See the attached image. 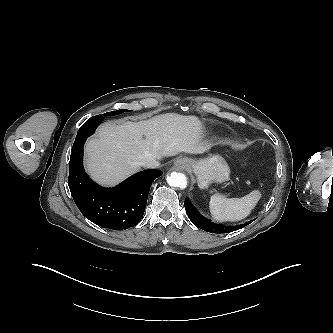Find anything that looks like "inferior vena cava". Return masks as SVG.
I'll list each match as a JSON object with an SVG mask.
<instances>
[{
    "label": "inferior vena cava",
    "mask_w": 333,
    "mask_h": 333,
    "mask_svg": "<svg viewBox=\"0 0 333 333\" xmlns=\"http://www.w3.org/2000/svg\"><path fill=\"white\" fill-rule=\"evenodd\" d=\"M141 166L147 167V168H156L160 165L159 161L154 158H147L140 162Z\"/></svg>",
    "instance_id": "obj_1"
}]
</instances>
